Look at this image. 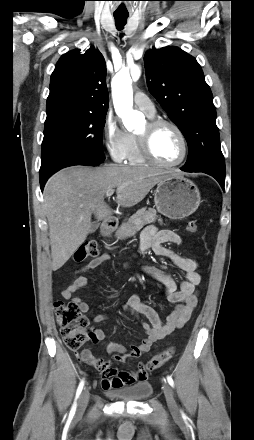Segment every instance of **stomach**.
I'll list each match as a JSON object with an SVG mask.
<instances>
[{
  "label": "stomach",
  "instance_id": "stomach-1",
  "mask_svg": "<svg viewBox=\"0 0 254 440\" xmlns=\"http://www.w3.org/2000/svg\"><path fill=\"white\" fill-rule=\"evenodd\" d=\"M200 199L197 186L176 173H170L162 179L154 193L158 212L173 220L192 215L199 207Z\"/></svg>",
  "mask_w": 254,
  "mask_h": 440
}]
</instances>
